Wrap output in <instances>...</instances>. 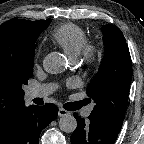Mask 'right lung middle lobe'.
<instances>
[{"instance_id":"obj_1","label":"right lung middle lobe","mask_w":144,"mask_h":144,"mask_svg":"<svg viewBox=\"0 0 144 144\" xmlns=\"http://www.w3.org/2000/svg\"><path fill=\"white\" fill-rule=\"evenodd\" d=\"M38 36L39 34L30 39L28 52L24 53L12 67V76L19 88L24 84L26 85L33 74L35 41Z\"/></svg>"}]
</instances>
